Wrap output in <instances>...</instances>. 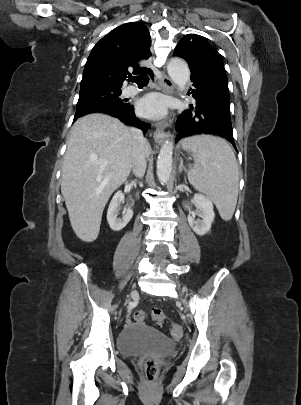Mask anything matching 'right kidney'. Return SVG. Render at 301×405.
Masks as SVG:
<instances>
[{
    "mask_svg": "<svg viewBox=\"0 0 301 405\" xmlns=\"http://www.w3.org/2000/svg\"><path fill=\"white\" fill-rule=\"evenodd\" d=\"M123 202H124V194L122 193V191L116 192L110 202L107 211V221L109 223L110 228L113 231L122 230L133 217V210L131 208H127L125 210V214L123 215L122 219L117 218L121 203Z\"/></svg>",
    "mask_w": 301,
    "mask_h": 405,
    "instance_id": "1",
    "label": "right kidney"
}]
</instances>
